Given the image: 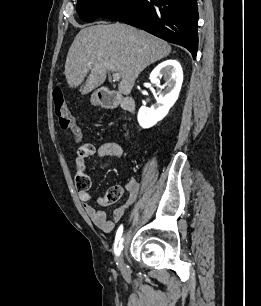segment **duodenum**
I'll return each mask as SVG.
<instances>
[{
    "label": "duodenum",
    "instance_id": "1",
    "mask_svg": "<svg viewBox=\"0 0 261 306\" xmlns=\"http://www.w3.org/2000/svg\"><path fill=\"white\" fill-rule=\"evenodd\" d=\"M98 101L104 108H116L120 106L129 112H133L135 109V102L131 97L121 96L120 94L105 88L99 91Z\"/></svg>",
    "mask_w": 261,
    "mask_h": 306
}]
</instances>
